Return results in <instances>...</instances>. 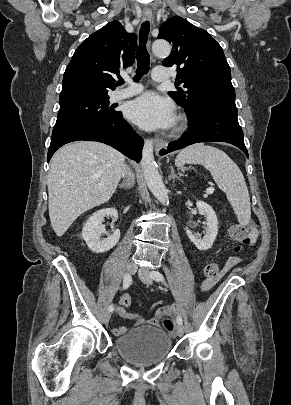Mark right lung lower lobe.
<instances>
[{"label": "right lung lower lobe", "instance_id": "right-lung-lower-lobe-1", "mask_svg": "<svg viewBox=\"0 0 291 405\" xmlns=\"http://www.w3.org/2000/svg\"><path fill=\"white\" fill-rule=\"evenodd\" d=\"M78 140L105 143L137 162L141 159L143 139L123 119L121 112L106 122L80 124L52 134L47 161L59 147Z\"/></svg>", "mask_w": 291, "mask_h": 405}]
</instances>
